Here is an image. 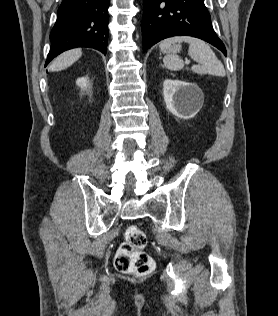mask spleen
Instances as JSON below:
<instances>
[{
    "label": "spleen",
    "instance_id": "1",
    "mask_svg": "<svg viewBox=\"0 0 278 316\" xmlns=\"http://www.w3.org/2000/svg\"><path fill=\"white\" fill-rule=\"evenodd\" d=\"M187 42L189 44L188 54L198 65H193L191 70L198 74H211L224 77L225 69L221 61L216 57L213 50L204 41L190 36H176L163 40L160 49L165 50L175 43ZM165 67L177 71L184 67V63L177 55H167L163 59Z\"/></svg>",
    "mask_w": 278,
    "mask_h": 316
}]
</instances>
